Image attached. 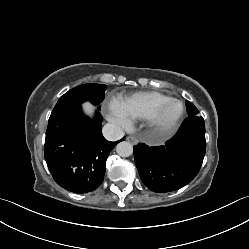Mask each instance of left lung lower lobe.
Segmentation results:
<instances>
[{"label":"left lung lower lobe","instance_id":"obj_1","mask_svg":"<svg viewBox=\"0 0 249 249\" xmlns=\"http://www.w3.org/2000/svg\"><path fill=\"white\" fill-rule=\"evenodd\" d=\"M205 124L198 115L189 116L177 134L163 146H134L135 164L142 182L152 191L170 192L190 183L205 156Z\"/></svg>","mask_w":249,"mask_h":249}]
</instances>
